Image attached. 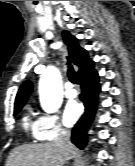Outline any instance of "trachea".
Listing matches in <instances>:
<instances>
[{
  "instance_id": "trachea-1",
  "label": "trachea",
  "mask_w": 135,
  "mask_h": 166,
  "mask_svg": "<svg viewBox=\"0 0 135 166\" xmlns=\"http://www.w3.org/2000/svg\"><path fill=\"white\" fill-rule=\"evenodd\" d=\"M68 65V71H67V76L69 78V80L73 83V84H78L79 80L77 78L76 72L74 71L70 61L68 60L67 62Z\"/></svg>"
}]
</instances>
